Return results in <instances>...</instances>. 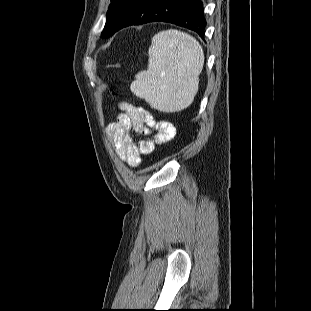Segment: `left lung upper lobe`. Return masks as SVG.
<instances>
[{
    "mask_svg": "<svg viewBox=\"0 0 311 311\" xmlns=\"http://www.w3.org/2000/svg\"><path fill=\"white\" fill-rule=\"evenodd\" d=\"M127 1L128 0H111V4L107 12L106 24L101 34L102 38H108L111 36L116 25L118 15Z\"/></svg>",
    "mask_w": 311,
    "mask_h": 311,
    "instance_id": "obj_1",
    "label": "left lung upper lobe"
}]
</instances>
